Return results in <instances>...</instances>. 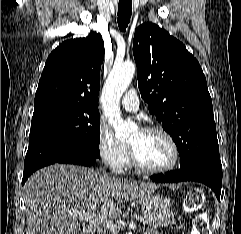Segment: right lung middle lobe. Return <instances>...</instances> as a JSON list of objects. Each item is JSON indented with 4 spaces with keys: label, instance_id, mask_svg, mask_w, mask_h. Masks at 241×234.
Segmentation results:
<instances>
[{
    "label": "right lung middle lobe",
    "instance_id": "obj_1",
    "mask_svg": "<svg viewBox=\"0 0 241 234\" xmlns=\"http://www.w3.org/2000/svg\"><path fill=\"white\" fill-rule=\"evenodd\" d=\"M59 139L99 157L100 114L97 107L68 103L37 105L31 122L30 144Z\"/></svg>",
    "mask_w": 241,
    "mask_h": 234
}]
</instances>
